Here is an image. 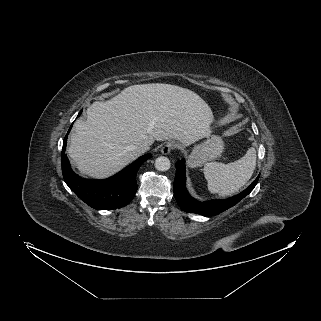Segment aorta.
I'll use <instances>...</instances> for the list:
<instances>
[{"label":"aorta","mask_w":321,"mask_h":321,"mask_svg":"<svg viewBox=\"0 0 321 321\" xmlns=\"http://www.w3.org/2000/svg\"><path fill=\"white\" fill-rule=\"evenodd\" d=\"M170 160L165 156H160L155 160V168L158 171H167L170 169Z\"/></svg>","instance_id":"762f6f07"}]
</instances>
